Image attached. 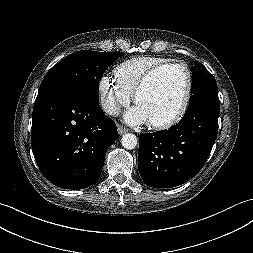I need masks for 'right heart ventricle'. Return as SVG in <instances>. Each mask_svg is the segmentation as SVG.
Masks as SVG:
<instances>
[{"instance_id": "1", "label": "right heart ventricle", "mask_w": 253, "mask_h": 253, "mask_svg": "<svg viewBox=\"0 0 253 253\" xmlns=\"http://www.w3.org/2000/svg\"><path fill=\"white\" fill-rule=\"evenodd\" d=\"M160 56H136L118 64L114 69V79L130 94H133L141 78L151 68L169 62Z\"/></svg>"}]
</instances>
